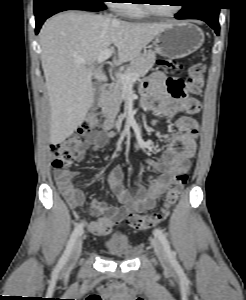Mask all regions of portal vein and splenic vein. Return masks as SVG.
I'll list each match as a JSON object with an SVG mask.
<instances>
[{"label":"portal vein and splenic vein","mask_w":246,"mask_h":300,"mask_svg":"<svg viewBox=\"0 0 246 300\" xmlns=\"http://www.w3.org/2000/svg\"><path fill=\"white\" fill-rule=\"evenodd\" d=\"M113 54V49H107L104 52H102L98 58L97 62L99 64L103 63L106 61L108 58H110ZM78 64L80 65H85L86 62L84 60H78ZM116 77L119 81H121L125 86H129L132 84V82H135L138 79V74L137 73H132V74H121V73H116Z\"/></svg>","instance_id":"1"}]
</instances>
